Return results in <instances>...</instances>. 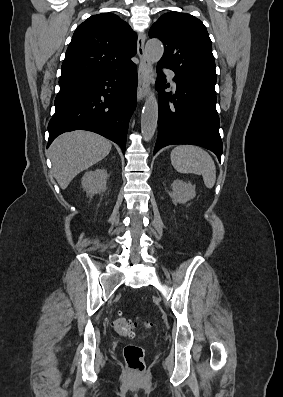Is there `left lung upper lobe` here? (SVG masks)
Wrapping results in <instances>:
<instances>
[{
	"mask_svg": "<svg viewBox=\"0 0 283 397\" xmlns=\"http://www.w3.org/2000/svg\"><path fill=\"white\" fill-rule=\"evenodd\" d=\"M149 37L164 43L159 65L173 70L179 80L216 93L212 42L199 19L187 13H165L152 25Z\"/></svg>",
	"mask_w": 283,
	"mask_h": 397,
	"instance_id": "left-lung-upper-lobe-1",
	"label": "left lung upper lobe"
}]
</instances>
